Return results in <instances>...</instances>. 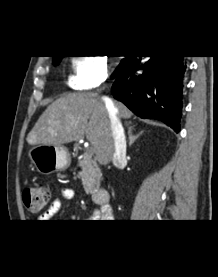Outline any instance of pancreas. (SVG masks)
<instances>
[{
  "label": "pancreas",
  "mask_w": 218,
  "mask_h": 277,
  "mask_svg": "<svg viewBox=\"0 0 218 277\" xmlns=\"http://www.w3.org/2000/svg\"><path fill=\"white\" fill-rule=\"evenodd\" d=\"M78 166L81 167L79 173L85 192L87 194L93 193L96 188L99 187L101 181V171L98 168L97 163L87 154L78 161Z\"/></svg>",
  "instance_id": "cf45deb5"
}]
</instances>
